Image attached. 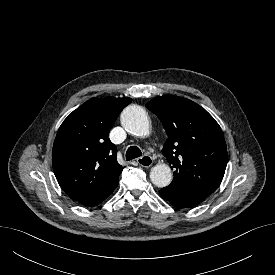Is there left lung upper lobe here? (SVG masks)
<instances>
[{"mask_svg":"<svg viewBox=\"0 0 275 275\" xmlns=\"http://www.w3.org/2000/svg\"><path fill=\"white\" fill-rule=\"evenodd\" d=\"M146 107L159 117L168 136L162 149L174 170L168 187L213 193L227 165L225 139L215 119L197 103L174 95L155 97Z\"/></svg>","mask_w":275,"mask_h":275,"instance_id":"left-lung-upper-lobe-1","label":"left lung upper lobe"}]
</instances>
